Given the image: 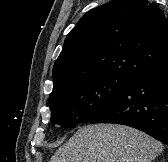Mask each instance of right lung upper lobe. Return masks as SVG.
<instances>
[{
    "mask_svg": "<svg viewBox=\"0 0 168 162\" xmlns=\"http://www.w3.org/2000/svg\"><path fill=\"white\" fill-rule=\"evenodd\" d=\"M168 62V21L148 0H112L67 35L53 67V91L108 74L131 78Z\"/></svg>",
    "mask_w": 168,
    "mask_h": 162,
    "instance_id": "right-lung-upper-lobe-1",
    "label": "right lung upper lobe"
}]
</instances>
